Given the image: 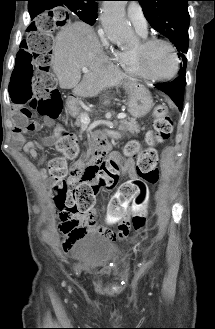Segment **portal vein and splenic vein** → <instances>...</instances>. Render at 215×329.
I'll use <instances>...</instances> for the list:
<instances>
[{
  "instance_id": "18ae733b",
  "label": "portal vein and splenic vein",
  "mask_w": 215,
  "mask_h": 329,
  "mask_svg": "<svg viewBox=\"0 0 215 329\" xmlns=\"http://www.w3.org/2000/svg\"><path fill=\"white\" fill-rule=\"evenodd\" d=\"M82 72L88 73L89 70L87 67H82ZM125 117H126V114H124V113H119L117 116L118 119H124ZM81 122L85 125H88V124H90V118L87 115H83L81 118Z\"/></svg>"
}]
</instances>
